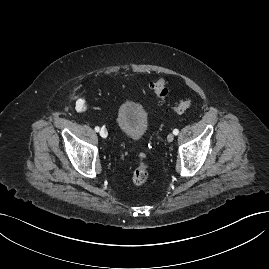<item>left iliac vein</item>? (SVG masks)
Returning a JSON list of instances; mask_svg holds the SVG:
<instances>
[{
  "label": "left iliac vein",
  "instance_id": "1",
  "mask_svg": "<svg viewBox=\"0 0 269 269\" xmlns=\"http://www.w3.org/2000/svg\"><path fill=\"white\" fill-rule=\"evenodd\" d=\"M167 140L168 142H172L174 140V135L172 133L168 134Z\"/></svg>",
  "mask_w": 269,
  "mask_h": 269
}]
</instances>
